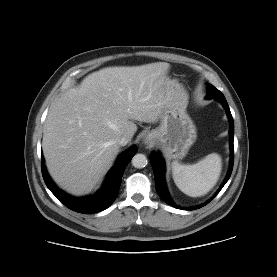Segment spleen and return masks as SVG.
Here are the masks:
<instances>
[{
  "label": "spleen",
  "instance_id": "3e777b00",
  "mask_svg": "<svg viewBox=\"0 0 277 277\" xmlns=\"http://www.w3.org/2000/svg\"><path fill=\"white\" fill-rule=\"evenodd\" d=\"M222 170V160L211 153L193 165L172 162L173 180L186 195L199 197L207 194L217 183Z\"/></svg>",
  "mask_w": 277,
  "mask_h": 277
}]
</instances>
